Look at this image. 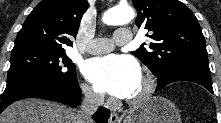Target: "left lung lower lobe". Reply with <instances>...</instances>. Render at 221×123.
I'll return each instance as SVG.
<instances>
[{
	"label": "left lung lower lobe",
	"mask_w": 221,
	"mask_h": 123,
	"mask_svg": "<svg viewBox=\"0 0 221 123\" xmlns=\"http://www.w3.org/2000/svg\"><path fill=\"white\" fill-rule=\"evenodd\" d=\"M177 81H190L202 85L211 93L213 92L211 72L197 67H185L174 69L163 73L158 78L156 91L162 89L166 85Z\"/></svg>",
	"instance_id": "0a47b994"
}]
</instances>
